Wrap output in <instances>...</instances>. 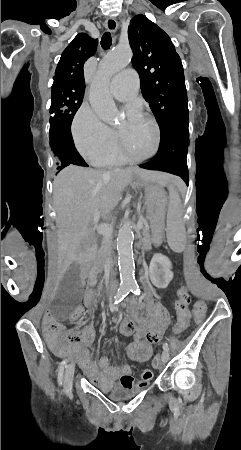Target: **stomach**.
Instances as JSON below:
<instances>
[{"instance_id": "obj_1", "label": "stomach", "mask_w": 241, "mask_h": 450, "mask_svg": "<svg viewBox=\"0 0 241 450\" xmlns=\"http://www.w3.org/2000/svg\"><path fill=\"white\" fill-rule=\"evenodd\" d=\"M145 189L147 216L152 233V242L159 246L164 237L165 214L167 206L166 194L157 183L141 181Z\"/></svg>"}]
</instances>
